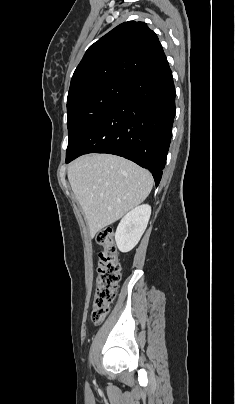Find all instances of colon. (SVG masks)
Segmentation results:
<instances>
[{"instance_id": "5ec220e1", "label": "colon", "mask_w": 235, "mask_h": 404, "mask_svg": "<svg viewBox=\"0 0 235 404\" xmlns=\"http://www.w3.org/2000/svg\"><path fill=\"white\" fill-rule=\"evenodd\" d=\"M100 246L96 291L92 307V321H104L114 302L121 277L118 250L111 228H105L97 236Z\"/></svg>"}]
</instances>
